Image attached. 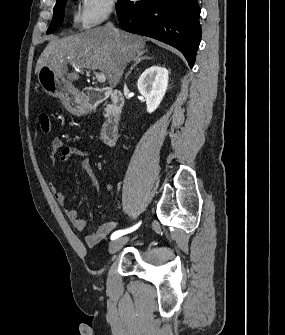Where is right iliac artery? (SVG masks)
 <instances>
[{"label": "right iliac artery", "instance_id": "1", "mask_svg": "<svg viewBox=\"0 0 285 335\" xmlns=\"http://www.w3.org/2000/svg\"><path fill=\"white\" fill-rule=\"evenodd\" d=\"M141 222H139L138 224H136L135 226L129 228V229H125V230H118L115 231L112 235H111V240L117 239L122 235H125L127 233H130L134 230H136L139 226H140Z\"/></svg>", "mask_w": 285, "mask_h": 335}]
</instances>
